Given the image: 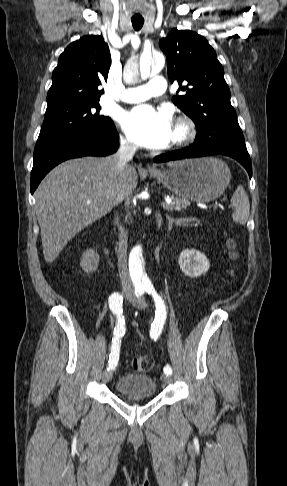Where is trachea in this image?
I'll return each mask as SVG.
<instances>
[{
  "mask_svg": "<svg viewBox=\"0 0 287 486\" xmlns=\"http://www.w3.org/2000/svg\"><path fill=\"white\" fill-rule=\"evenodd\" d=\"M144 24V20L143 19H134L132 20V25H133V28L138 31L142 28Z\"/></svg>",
  "mask_w": 287,
  "mask_h": 486,
  "instance_id": "3493384b",
  "label": "trachea"
}]
</instances>
